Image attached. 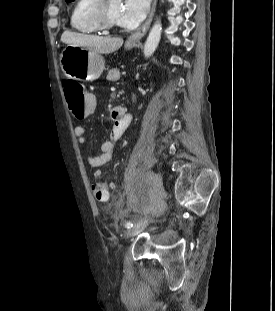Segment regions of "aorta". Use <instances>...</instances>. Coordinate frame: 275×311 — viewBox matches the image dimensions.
I'll use <instances>...</instances> for the list:
<instances>
[{
	"instance_id": "1",
	"label": "aorta",
	"mask_w": 275,
	"mask_h": 311,
	"mask_svg": "<svg viewBox=\"0 0 275 311\" xmlns=\"http://www.w3.org/2000/svg\"><path fill=\"white\" fill-rule=\"evenodd\" d=\"M162 25L158 19L150 30L146 43L144 45V56L150 57L156 50L161 38Z\"/></svg>"
}]
</instances>
